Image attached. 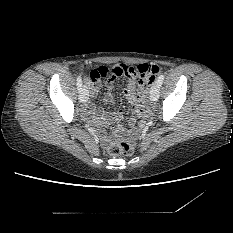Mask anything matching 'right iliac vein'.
<instances>
[{"mask_svg":"<svg viewBox=\"0 0 233 233\" xmlns=\"http://www.w3.org/2000/svg\"><path fill=\"white\" fill-rule=\"evenodd\" d=\"M79 100H80V102H82V103L87 102V100H88V89H87L86 86H83V87L80 89Z\"/></svg>","mask_w":233,"mask_h":233,"instance_id":"63e3f726","label":"right iliac vein"}]
</instances>
